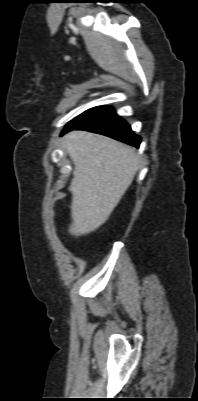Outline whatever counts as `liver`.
<instances>
[{
	"label": "liver",
	"instance_id": "6515ba94",
	"mask_svg": "<svg viewBox=\"0 0 198 401\" xmlns=\"http://www.w3.org/2000/svg\"><path fill=\"white\" fill-rule=\"evenodd\" d=\"M64 147L74 164L69 233L89 234L103 225L141 165L135 149L109 137L72 131Z\"/></svg>",
	"mask_w": 198,
	"mask_h": 401
}]
</instances>
